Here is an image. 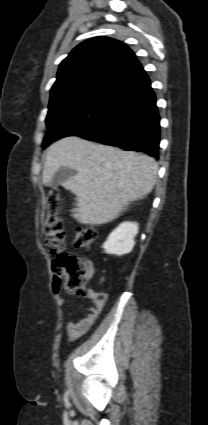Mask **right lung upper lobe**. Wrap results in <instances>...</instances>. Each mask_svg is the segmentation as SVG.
<instances>
[{
	"label": "right lung upper lobe",
	"mask_w": 208,
	"mask_h": 425,
	"mask_svg": "<svg viewBox=\"0 0 208 425\" xmlns=\"http://www.w3.org/2000/svg\"><path fill=\"white\" fill-rule=\"evenodd\" d=\"M138 62L124 43L109 37H94L80 43L61 62L51 88L50 102L70 93L104 90Z\"/></svg>",
	"instance_id": "cb5924a9"
}]
</instances>
